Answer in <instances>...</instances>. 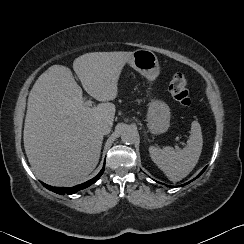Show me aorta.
Returning <instances> with one entry per match:
<instances>
[{"instance_id":"762f6f07","label":"aorta","mask_w":244,"mask_h":244,"mask_svg":"<svg viewBox=\"0 0 244 244\" xmlns=\"http://www.w3.org/2000/svg\"><path fill=\"white\" fill-rule=\"evenodd\" d=\"M136 137V131L132 128H125L121 133V141L125 144H133Z\"/></svg>"}]
</instances>
